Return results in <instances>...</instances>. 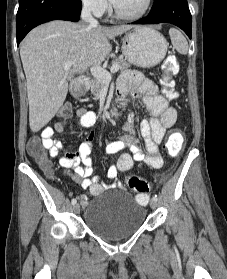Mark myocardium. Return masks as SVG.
<instances>
[{
  "label": "myocardium",
  "instance_id": "f54148a6",
  "mask_svg": "<svg viewBox=\"0 0 227 279\" xmlns=\"http://www.w3.org/2000/svg\"><path fill=\"white\" fill-rule=\"evenodd\" d=\"M151 5H152V0H145V4L143 8L139 12L134 14L122 13L114 3L112 4V9L117 18L126 19V20H136L145 16L149 12Z\"/></svg>",
  "mask_w": 227,
  "mask_h": 279
}]
</instances>
